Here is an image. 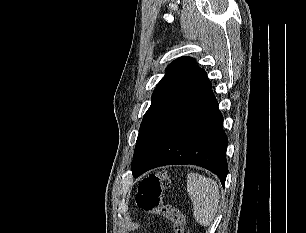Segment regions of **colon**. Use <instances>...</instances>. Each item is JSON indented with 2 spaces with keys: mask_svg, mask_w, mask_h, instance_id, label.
<instances>
[{
  "mask_svg": "<svg viewBox=\"0 0 306 233\" xmlns=\"http://www.w3.org/2000/svg\"><path fill=\"white\" fill-rule=\"evenodd\" d=\"M167 185L166 171L159 170L150 174L138 185L136 203L142 210L171 221L175 233H185L186 218L184 214L164 201L163 191Z\"/></svg>",
  "mask_w": 306,
  "mask_h": 233,
  "instance_id": "1",
  "label": "colon"
}]
</instances>
